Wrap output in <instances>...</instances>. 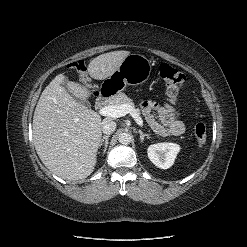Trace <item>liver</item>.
<instances>
[{
	"label": "liver",
	"mask_w": 247,
	"mask_h": 247,
	"mask_svg": "<svg viewBox=\"0 0 247 247\" xmlns=\"http://www.w3.org/2000/svg\"><path fill=\"white\" fill-rule=\"evenodd\" d=\"M129 51L101 54L88 65L89 75L104 80L115 72ZM65 76H56L42 92L33 116V142L42 163L67 180L88 177L97 162L102 136L101 117L77 102L63 87ZM89 87L68 82L69 91L86 100Z\"/></svg>",
	"instance_id": "6515ba94"
}]
</instances>
